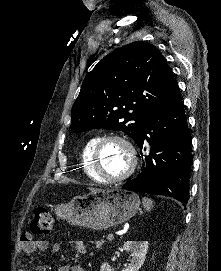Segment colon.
<instances>
[{
  "label": "colon",
  "instance_id": "5ec220e1",
  "mask_svg": "<svg viewBox=\"0 0 221 271\" xmlns=\"http://www.w3.org/2000/svg\"><path fill=\"white\" fill-rule=\"evenodd\" d=\"M54 229L52 213L46 208H39L35 213L25 238L30 239L32 235L49 234Z\"/></svg>",
  "mask_w": 221,
  "mask_h": 271
}]
</instances>
